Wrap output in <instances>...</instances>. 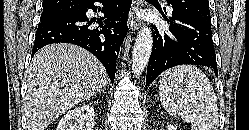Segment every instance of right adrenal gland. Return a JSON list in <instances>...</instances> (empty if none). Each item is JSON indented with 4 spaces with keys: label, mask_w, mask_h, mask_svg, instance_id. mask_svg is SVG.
I'll return each instance as SVG.
<instances>
[{
    "label": "right adrenal gland",
    "mask_w": 249,
    "mask_h": 130,
    "mask_svg": "<svg viewBox=\"0 0 249 130\" xmlns=\"http://www.w3.org/2000/svg\"><path fill=\"white\" fill-rule=\"evenodd\" d=\"M102 91H103V89H102V90H100V91H99V93H101Z\"/></svg>",
    "instance_id": "1"
}]
</instances>
